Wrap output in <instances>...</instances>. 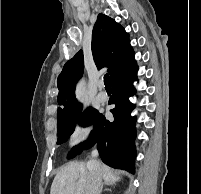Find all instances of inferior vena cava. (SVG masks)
<instances>
[{"mask_svg": "<svg viewBox=\"0 0 201 194\" xmlns=\"http://www.w3.org/2000/svg\"><path fill=\"white\" fill-rule=\"evenodd\" d=\"M98 156V151L93 150L91 153V159L87 163L89 169V180L86 187V194H99L101 187V168L100 163L96 159Z\"/></svg>", "mask_w": 201, "mask_h": 194, "instance_id": "obj_1", "label": "inferior vena cava"}]
</instances>
